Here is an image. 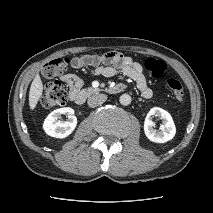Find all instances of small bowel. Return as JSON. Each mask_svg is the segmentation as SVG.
Here are the masks:
<instances>
[{
  "label": "small bowel",
  "mask_w": 213,
  "mask_h": 213,
  "mask_svg": "<svg viewBox=\"0 0 213 213\" xmlns=\"http://www.w3.org/2000/svg\"><path fill=\"white\" fill-rule=\"evenodd\" d=\"M70 65L74 69L92 67L95 75L107 78L121 72L136 82L137 88L144 98L149 99L153 95L141 64L121 53L108 52L101 55L84 54L73 57L70 60ZM61 80L68 86L70 99L74 101V97L84 85V80L74 73L63 74Z\"/></svg>",
  "instance_id": "obj_1"
}]
</instances>
